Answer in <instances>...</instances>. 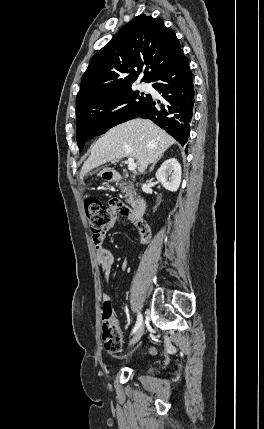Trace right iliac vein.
<instances>
[{
  "label": "right iliac vein",
  "instance_id": "obj_1",
  "mask_svg": "<svg viewBox=\"0 0 264 429\" xmlns=\"http://www.w3.org/2000/svg\"><path fill=\"white\" fill-rule=\"evenodd\" d=\"M143 333H144V325L141 324V326L138 328V330L134 334L133 338L130 340L129 347L136 344L140 340V338L142 337Z\"/></svg>",
  "mask_w": 264,
  "mask_h": 429
}]
</instances>
